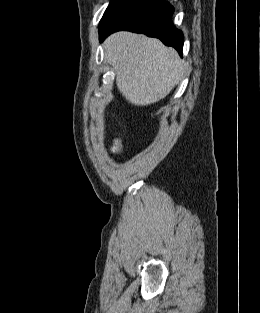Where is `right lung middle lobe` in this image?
Instances as JSON below:
<instances>
[{
	"instance_id": "right-lung-middle-lobe-1",
	"label": "right lung middle lobe",
	"mask_w": 260,
	"mask_h": 313,
	"mask_svg": "<svg viewBox=\"0 0 260 313\" xmlns=\"http://www.w3.org/2000/svg\"><path fill=\"white\" fill-rule=\"evenodd\" d=\"M120 0H111V2H110V4H109V6H108V8L106 9V11H105V14L117 3V2H119ZM104 14V15H105Z\"/></svg>"
}]
</instances>
